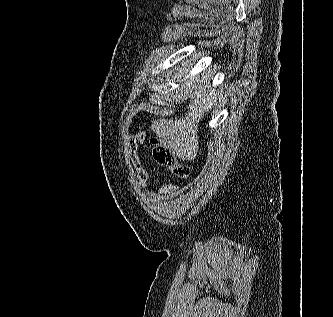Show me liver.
I'll return each mask as SVG.
<instances>
[{"mask_svg":"<svg viewBox=\"0 0 333 317\" xmlns=\"http://www.w3.org/2000/svg\"><path fill=\"white\" fill-rule=\"evenodd\" d=\"M178 89L191 99L187 107L189 112L180 119H155L151 128L162 146L179 159L191 161L195 159L199 149V121L211 110L212 99H216V95L209 88L208 79L200 77L186 78Z\"/></svg>","mask_w":333,"mask_h":317,"instance_id":"liver-1","label":"liver"}]
</instances>
